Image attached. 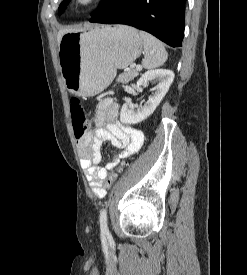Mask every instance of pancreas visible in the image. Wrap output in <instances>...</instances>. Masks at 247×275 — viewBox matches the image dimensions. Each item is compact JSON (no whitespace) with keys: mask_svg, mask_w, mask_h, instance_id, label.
Wrapping results in <instances>:
<instances>
[{"mask_svg":"<svg viewBox=\"0 0 247 275\" xmlns=\"http://www.w3.org/2000/svg\"><path fill=\"white\" fill-rule=\"evenodd\" d=\"M137 76H138L137 71L129 70L127 72L120 74L117 78V82H121V83L125 84V83H128L129 81H132Z\"/></svg>","mask_w":247,"mask_h":275,"instance_id":"obj_1","label":"pancreas"}]
</instances>
